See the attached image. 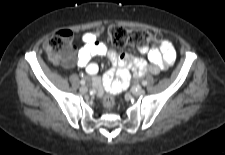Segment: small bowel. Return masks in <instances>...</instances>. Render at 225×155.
I'll return each mask as SVG.
<instances>
[{
    "mask_svg": "<svg viewBox=\"0 0 225 155\" xmlns=\"http://www.w3.org/2000/svg\"><path fill=\"white\" fill-rule=\"evenodd\" d=\"M97 37L96 33H85L82 36L83 46L77 51L76 59L64 62V65L71 67L76 63L79 67L85 68L86 72L93 77L94 87L103 97L124 89L130 81V70H133L137 77L146 72L158 74L170 67L175 61L176 52L168 40H162L152 47H139L140 53L147 56V60H145L127 53H118L99 42ZM95 56H106L113 66L102 78L98 76V65L91 62Z\"/></svg>",
    "mask_w": 225,
    "mask_h": 155,
    "instance_id": "1",
    "label": "small bowel"
}]
</instances>
